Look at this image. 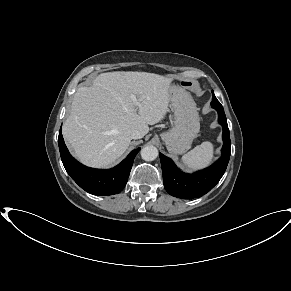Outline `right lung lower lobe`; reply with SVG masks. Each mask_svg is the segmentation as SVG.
<instances>
[{
  "label": "right lung lower lobe",
  "mask_w": 291,
  "mask_h": 291,
  "mask_svg": "<svg viewBox=\"0 0 291 291\" xmlns=\"http://www.w3.org/2000/svg\"><path fill=\"white\" fill-rule=\"evenodd\" d=\"M58 144L61 159L67 173L86 192L108 196L121 192L125 187L134 158L140 148L131 152L119 165L108 169L86 167L72 158L59 131Z\"/></svg>",
  "instance_id": "obj_1"
}]
</instances>
